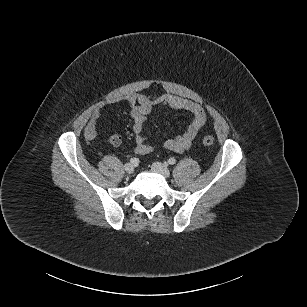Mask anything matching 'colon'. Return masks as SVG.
<instances>
[{"instance_id":"colon-1","label":"colon","mask_w":307,"mask_h":307,"mask_svg":"<svg viewBox=\"0 0 307 307\" xmlns=\"http://www.w3.org/2000/svg\"><path fill=\"white\" fill-rule=\"evenodd\" d=\"M121 141V137L119 135H113L110 137V143L112 145H118ZM202 142L204 145L210 146L214 143V138L211 135H205L202 138Z\"/></svg>"}]
</instances>
